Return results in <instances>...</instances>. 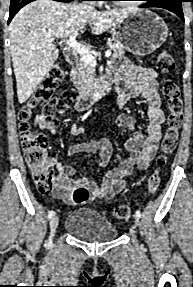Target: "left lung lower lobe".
I'll list each match as a JSON object with an SVG mask.
<instances>
[{
  "instance_id": "1",
  "label": "left lung lower lobe",
  "mask_w": 193,
  "mask_h": 287,
  "mask_svg": "<svg viewBox=\"0 0 193 287\" xmlns=\"http://www.w3.org/2000/svg\"><path fill=\"white\" fill-rule=\"evenodd\" d=\"M182 2H186V0H153V1H147L146 4L140 7L141 8H147V7L164 8L175 13L178 17H180L184 21V15L182 12V5H181Z\"/></svg>"
}]
</instances>
